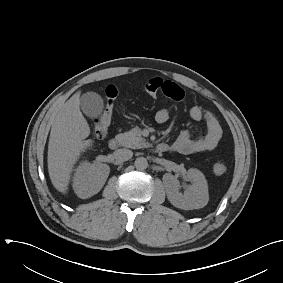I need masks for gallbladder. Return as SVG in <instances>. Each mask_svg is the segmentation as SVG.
I'll return each mask as SVG.
<instances>
[{
	"label": "gallbladder",
	"mask_w": 283,
	"mask_h": 283,
	"mask_svg": "<svg viewBox=\"0 0 283 283\" xmlns=\"http://www.w3.org/2000/svg\"><path fill=\"white\" fill-rule=\"evenodd\" d=\"M80 107L86 116L97 118L104 108L103 99L95 92H86L80 98Z\"/></svg>",
	"instance_id": "bac80fb5"
}]
</instances>
